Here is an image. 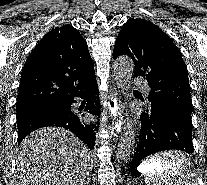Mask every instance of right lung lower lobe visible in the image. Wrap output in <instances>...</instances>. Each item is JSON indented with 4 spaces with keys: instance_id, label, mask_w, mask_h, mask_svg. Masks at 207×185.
I'll list each match as a JSON object with an SVG mask.
<instances>
[{
    "instance_id": "1",
    "label": "right lung lower lobe",
    "mask_w": 207,
    "mask_h": 185,
    "mask_svg": "<svg viewBox=\"0 0 207 185\" xmlns=\"http://www.w3.org/2000/svg\"><path fill=\"white\" fill-rule=\"evenodd\" d=\"M75 97L87 100L86 106L78 110L72 108L71 105L77 102ZM82 110L84 112H81ZM87 112L93 115H99L100 112L96 77L76 85L68 95L55 105L44 107L18 118V144L36 129L56 126L72 131L93 149L98 126L89 120Z\"/></svg>"
}]
</instances>
